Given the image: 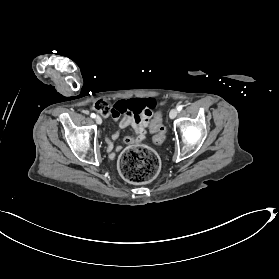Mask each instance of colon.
<instances>
[{
	"label": "colon",
	"instance_id": "5ec220e1",
	"mask_svg": "<svg viewBox=\"0 0 279 279\" xmlns=\"http://www.w3.org/2000/svg\"><path fill=\"white\" fill-rule=\"evenodd\" d=\"M155 107L153 100L134 99L114 105L99 100L94 103L93 108L107 116L114 111L121 114H141L152 111ZM151 130L154 134L153 141L156 144L163 143L166 129L162 123V116L156 114L151 123ZM160 170V160L158 155L150 148L136 146L125 150L119 159V171L122 177L136 184H141L152 180Z\"/></svg>",
	"mask_w": 279,
	"mask_h": 279
}]
</instances>
